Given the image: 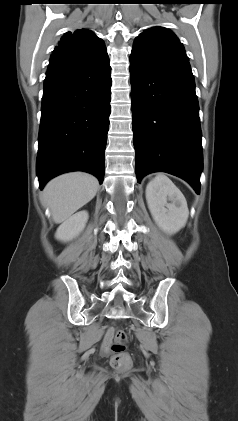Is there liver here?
<instances>
[{"instance_id": "liver-1", "label": "liver", "mask_w": 238, "mask_h": 421, "mask_svg": "<svg viewBox=\"0 0 238 421\" xmlns=\"http://www.w3.org/2000/svg\"><path fill=\"white\" fill-rule=\"evenodd\" d=\"M98 180L87 173L73 172L52 179L45 186L42 201L55 223L67 220L78 209L94 198Z\"/></svg>"}]
</instances>
